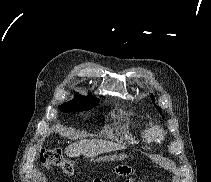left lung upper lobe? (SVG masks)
I'll use <instances>...</instances> for the list:
<instances>
[{
    "mask_svg": "<svg viewBox=\"0 0 211 182\" xmlns=\"http://www.w3.org/2000/svg\"><path fill=\"white\" fill-rule=\"evenodd\" d=\"M151 98H152V101L154 102L155 99H154V96H153V95H151ZM155 107H156V109H158L159 111L161 110L158 106L155 105ZM161 115H162V114H161ZM162 117H163V115H162Z\"/></svg>",
    "mask_w": 211,
    "mask_h": 182,
    "instance_id": "5c2ea615",
    "label": "left lung upper lobe"
}]
</instances>
